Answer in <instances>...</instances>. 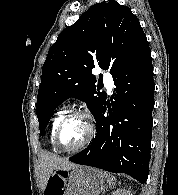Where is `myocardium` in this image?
Segmentation results:
<instances>
[{
    "label": "myocardium",
    "mask_w": 178,
    "mask_h": 195,
    "mask_svg": "<svg viewBox=\"0 0 178 195\" xmlns=\"http://www.w3.org/2000/svg\"><path fill=\"white\" fill-rule=\"evenodd\" d=\"M75 118H81L85 120L86 125H87L86 138L81 144H79L76 147H73V148L63 147L59 141L61 130L67 122ZM94 133H95V125H94V121L90 113H88L87 111H73L65 115L58 123L55 129L54 135H53V143L56 146V148L62 152H67V153L77 152V151L84 149L86 146L90 144V142L92 141L94 137Z\"/></svg>",
    "instance_id": "1"
}]
</instances>
